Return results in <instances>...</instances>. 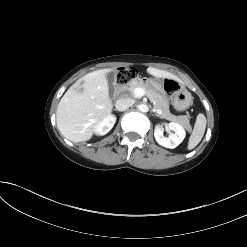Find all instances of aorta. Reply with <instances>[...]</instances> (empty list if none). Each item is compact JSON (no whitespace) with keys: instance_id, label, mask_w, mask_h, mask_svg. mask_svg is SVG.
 I'll return each instance as SVG.
<instances>
[{"instance_id":"obj_1","label":"aorta","mask_w":247,"mask_h":247,"mask_svg":"<svg viewBox=\"0 0 247 247\" xmlns=\"http://www.w3.org/2000/svg\"><path fill=\"white\" fill-rule=\"evenodd\" d=\"M138 109H139L141 112H143V113H146V112H148V110H149V108H148V106H147L146 104H140V105L138 106Z\"/></svg>"}]
</instances>
